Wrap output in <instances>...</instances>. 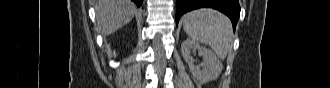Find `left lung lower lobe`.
I'll return each instance as SVG.
<instances>
[{
  "instance_id": "0a47b994",
  "label": "left lung lower lobe",
  "mask_w": 330,
  "mask_h": 88,
  "mask_svg": "<svg viewBox=\"0 0 330 88\" xmlns=\"http://www.w3.org/2000/svg\"><path fill=\"white\" fill-rule=\"evenodd\" d=\"M209 7L226 14L233 25V30L240 16V5L238 0H176V23L180 17L191 10Z\"/></svg>"
}]
</instances>
